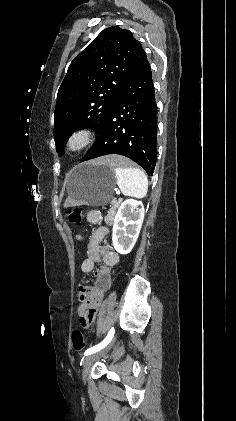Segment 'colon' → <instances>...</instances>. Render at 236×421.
Masks as SVG:
<instances>
[{
	"label": "colon",
	"mask_w": 236,
	"mask_h": 421,
	"mask_svg": "<svg viewBox=\"0 0 236 421\" xmlns=\"http://www.w3.org/2000/svg\"><path fill=\"white\" fill-rule=\"evenodd\" d=\"M68 218L73 223L81 222L83 218V208L75 207L68 210ZM72 346L75 350H83L86 346V338L79 330H74L71 335Z\"/></svg>",
	"instance_id": "5ec220e1"
}]
</instances>
